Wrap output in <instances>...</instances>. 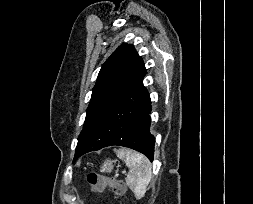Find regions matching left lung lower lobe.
Segmentation results:
<instances>
[{
  "mask_svg": "<svg viewBox=\"0 0 253 204\" xmlns=\"http://www.w3.org/2000/svg\"><path fill=\"white\" fill-rule=\"evenodd\" d=\"M151 100L143 83L128 97L95 119L85 130L73 163L85 153L107 146H124L153 161L155 137L150 133Z\"/></svg>",
  "mask_w": 253,
  "mask_h": 204,
  "instance_id": "1",
  "label": "left lung lower lobe"
}]
</instances>
